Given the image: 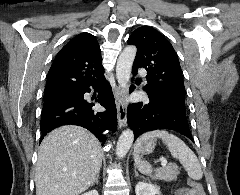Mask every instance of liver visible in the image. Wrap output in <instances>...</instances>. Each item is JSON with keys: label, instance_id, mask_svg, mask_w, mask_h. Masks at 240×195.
Returning a JSON list of instances; mask_svg holds the SVG:
<instances>
[{"label": "liver", "instance_id": "liver-1", "mask_svg": "<svg viewBox=\"0 0 240 195\" xmlns=\"http://www.w3.org/2000/svg\"><path fill=\"white\" fill-rule=\"evenodd\" d=\"M101 143L80 125H61L44 137L35 171L36 195H78L100 171Z\"/></svg>", "mask_w": 240, "mask_h": 195}]
</instances>
